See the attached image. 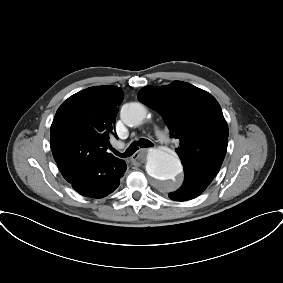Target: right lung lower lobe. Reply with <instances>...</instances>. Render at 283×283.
Masks as SVG:
<instances>
[{"instance_id": "right-lung-lower-lobe-1", "label": "right lung lower lobe", "mask_w": 283, "mask_h": 283, "mask_svg": "<svg viewBox=\"0 0 283 283\" xmlns=\"http://www.w3.org/2000/svg\"><path fill=\"white\" fill-rule=\"evenodd\" d=\"M127 169L125 162H102L94 172L78 176L71 184L81 195L102 198L112 193L120 184V179Z\"/></svg>"}]
</instances>
